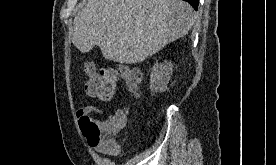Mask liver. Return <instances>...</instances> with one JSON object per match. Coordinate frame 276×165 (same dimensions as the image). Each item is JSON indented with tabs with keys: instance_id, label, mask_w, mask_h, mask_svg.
<instances>
[{
	"instance_id": "liver-1",
	"label": "liver",
	"mask_w": 276,
	"mask_h": 165,
	"mask_svg": "<svg viewBox=\"0 0 276 165\" xmlns=\"http://www.w3.org/2000/svg\"><path fill=\"white\" fill-rule=\"evenodd\" d=\"M194 21L182 0H87L71 39L82 53L98 46L107 60L135 64L184 37Z\"/></svg>"
}]
</instances>
